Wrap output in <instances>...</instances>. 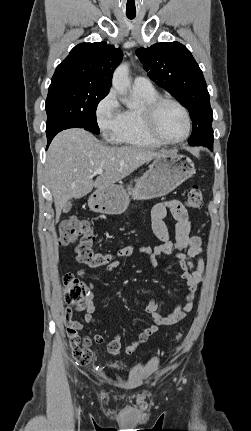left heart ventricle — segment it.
<instances>
[{
    "instance_id": "left-heart-ventricle-1",
    "label": "left heart ventricle",
    "mask_w": 251,
    "mask_h": 431,
    "mask_svg": "<svg viewBox=\"0 0 251 431\" xmlns=\"http://www.w3.org/2000/svg\"><path fill=\"white\" fill-rule=\"evenodd\" d=\"M157 128L166 140H177L185 133V118L182 111L173 104H165L157 116Z\"/></svg>"
}]
</instances>
